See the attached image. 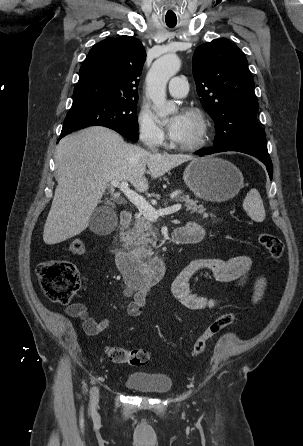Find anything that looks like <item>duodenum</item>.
<instances>
[{
    "instance_id": "410a0bca",
    "label": "duodenum",
    "mask_w": 303,
    "mask_h": 446,
    "mask_svg": "<svg viewBox=\"0 0 303 446\" xmlns=\"http://www.w3.org/2000/svg\"><path fill=\"white\" fill-rule=\"evenodd\" d=\"M132 221V213L124 210L120 214L122 227L128 226ZM170 245L191 243V239L180 229L174 230L169 237ZM117 267L124 275L126 284L131 289H140L152 285L161 278L167 269L166 255H156L149 260L138 259L125 251L116 253Z\"/></svg>"
}]
</instances>
